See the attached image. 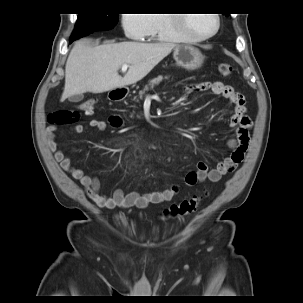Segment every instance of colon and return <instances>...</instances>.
<instances>
[{"mask_svg": "<svg viewBox=\"0 0 303 303\" xmlns=\"http://www.w3.org/2000/svg\"><path fill=\"white\" fill-rule=\"evenodd\" d=\"M220 74L227 76L231 74L232 67L228 63H220L218 66ZM97 101L96 99H90L83 102L80 108L86 113H91L94 109ZM79 120V113L75 110L60 109L49 114L48 122L52 125H70L74 124ZM200 205V198L191 197L183 200L179 203L172 204L165 210V215L171 218H180L188 216L197 211Z\"/></svg>", "mask_w": 303, "mask_h": 303, "instance_id": "1", "label": "colon"}]
</instances>
